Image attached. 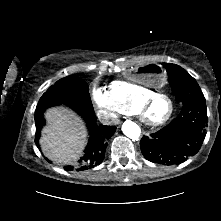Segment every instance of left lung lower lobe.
Listing matches in <instances>:
<instances>
[{
	"label": "left lung lower lobe",
	"mask_w": 221,
	"mask_h": 221,
	"mask_svg": "<svg viewBox=\"0 0 221 221\" xmlns=\"http://www.w3.org/2000/svg\"><path fill=\"white\" fill-rule=\"evenodd\" d=\"M207 126L205 99L186 102L166 127L141 139V152L153 163L181 164L200 150Z\"/></svg>",
	"instance_id": "0a47b994"
}]
</instances>
